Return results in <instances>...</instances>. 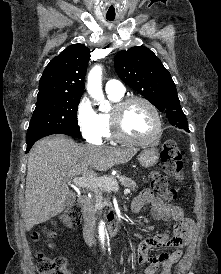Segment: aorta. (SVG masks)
<instances>
[{
  "label": "aorta",
  "instance_id": "obj_1",
  "mask_svg": "<svg viewBox=\"0 0 221 274\" xmlns=\"http://www.w3.org/2000/svg\"><path fill=\"white\" fill-rule=\"evenodd\" d=\"M87 91L89 95L100 105L103 106L107 103L104 98L102 91V68L96 65L91 69L87 78ZM99 238L101 243L104 245L105 241V231L104 222L99 225Z\"/></svg>",
  "mask_w": 221,
  "mask_h": 274
}]
</instances>
